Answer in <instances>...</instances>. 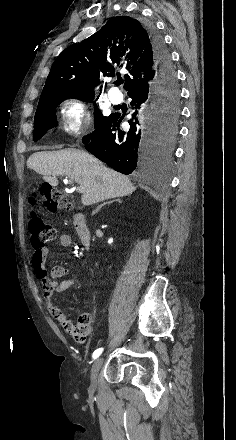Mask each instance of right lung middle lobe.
I'll use <instances>...</instances> for the list:
<instances>
[{
  "mask_svg": "<svg viewBox=\"0 0 236 440\" xmlns=\"http://www.w3.org/2000/svg\"><path fill=\"white\" fill-rule=\"evenodd\" d=\"M155 96L163 103L162 119L158 131V141L163 146V153L158 163L163 162L171 153L172 141L176 135V121L179 116V88L175 82L157 85L154 88ZM77 98L84 101L92 100L93 93H66L49 96L39 101L34 118L33 140L40 139L48 129L57 125L55 107L64 99ZM95 103V101H93ZM95 127L100 125L107 116H103L99 109L94 112Z\"/></svg>",
  "mask_w": 236,
  "mask_h": 440,
  "instance_id": "dd1d6c3e",
  "label": "right lung middle lobe"
}]
</instances>
